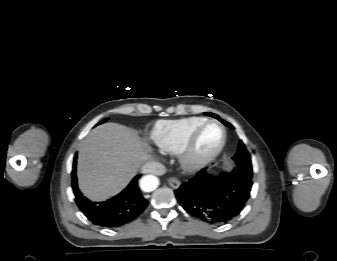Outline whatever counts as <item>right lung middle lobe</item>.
I'll list each match as a JSON object with an SVG mask.
<instances>
[{"label": "right lung middle lobe", "mask_w": 337, "mask_h": 261, "mask_svg": "<svg viewBox=\"0 0 337 261\" xmlns=\"http://www.w3.org/2000/svg\"><path fill=\"white\" fill-rule=\"evenodd\" d=\"M107 119L103 120L101 123H104Z\"/></svg>", "instance_id": "dd1d6c3e"}]
</instances>
